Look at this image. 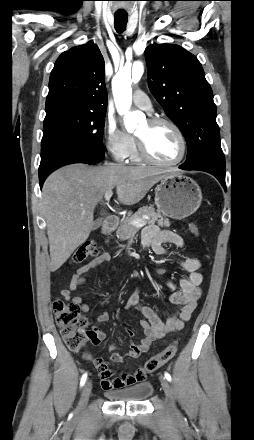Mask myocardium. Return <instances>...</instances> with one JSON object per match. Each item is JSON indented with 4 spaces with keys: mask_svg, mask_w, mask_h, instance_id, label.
Segmentation results:
<instances>
[{
    "mask_svg": "<svg viewBox=\"0 0 254 440\" xmlns=\"http://www.w3.org/2000/svg\"><path fill=\"white\" fill-rule=\"evenodd\" d=\"M148 123L151 126L165 124V125H168L169 127H171L179 137V140L181 143V152H180L179 157L175 161L162 162V161L156 159L150 153L146 141L143 138L136 135L137 150H138V153H139L141 159L152 164V165H156V166H160V167H173V166L180 164L185 159L186 154H187V149H188L187 140H186V137H185L183 131L181 130V128L172 120H170L168 118H164V117H152L148 120Z\"/></svg>",
    "mask_w": 254,
    "mask_h": 440,
    "instance_id": "myocardium-1",
    "label": "myocardium"
}]
</instances>
